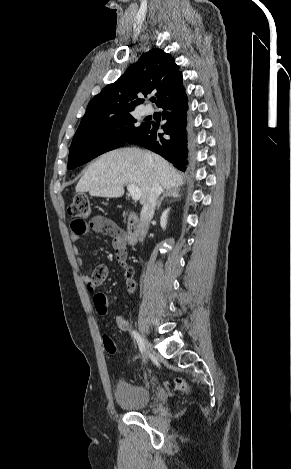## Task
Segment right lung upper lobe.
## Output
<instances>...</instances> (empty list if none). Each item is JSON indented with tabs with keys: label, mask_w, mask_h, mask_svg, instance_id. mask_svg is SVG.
Here are the masks:
<instances>
[{
	"label": "right lung upper lobe",
	"mask_w": 291,
	"mask_h": 469,
	"mask_svg": "<svg viewBox=\"0 0 291 469\" xmlns=\"http://www.w3.org/2000/svg\"><path fill=\"white\" fill-rule=\"evenodd\" d=\"M183 88L182 73L171 55L161 49L143 54L113 84L107 85L88 104L82 121L132 112L143 103L140 95L156 91L157 105Z\"/></svg>",
	"instance_id": "obj_1"
}]
</instances>
